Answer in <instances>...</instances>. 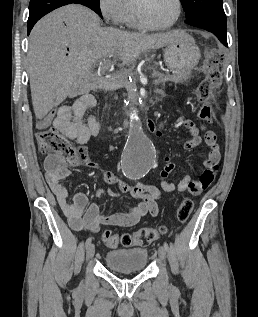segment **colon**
<instances>
[{
	"label": "colon",
	"instance_id": "1",
	"mask_svg": "<svg viewBox=\"0 0 258 317\" xmlns=\"http://www.w3.org/2000/svg\"><path fill=\"white\" fill-rule=\"evenodd\" d=\"M219 81L218 73L212 71L201 82L195 91V100L199 103L197 115L201 120L212 121L215 117V108L208 103L212 98L214 88ZM51 115L48 114L45 118ZM37 141L39 149L42 153L58 157L64 163L69 165H79L84 160L85 149L75 146L69 142L62 134L54 128H45L38 133ZM194 209V203L191 199L182 200L177 206V219L185 222ZM166 232L165 227L141 228L134 233L116 234L110 230L103 233V240L109 248L131 247V246H147L157 240Z\"/></svg>",
	"mask_w": 258,
	"mask_h": 317
}]
</instances>
